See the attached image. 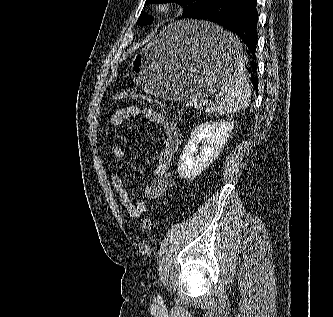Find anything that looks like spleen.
<instances>
[{"label": "spleen", "mask_w": 333, "mask_h": 317, "mask_svg": "<svg viewBox=\"0 0 333 317\" xmlns=\"http://www.w3.org/2000/svg\"><path fill=\"white\" fill-rule=\"evenodd\" d=\"M218 41L228 50L230 68L211 109L220 115H228L248 107L251 90L247 82L245 59L240 52L238 38L219 28Z\"/></svg>", "instance_id": "1"}]
</instances>
